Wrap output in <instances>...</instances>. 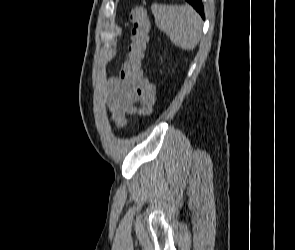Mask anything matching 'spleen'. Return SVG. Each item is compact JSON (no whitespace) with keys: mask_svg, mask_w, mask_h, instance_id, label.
<instances>
[{"mask_svg":"<svg viewBox=\"0 0 295 250\" xmlns=\"http://www.w3.org/2000/svg\"><path fill=\"white\" fill-rule=\"evenodd\" d=\"M157 27L169 35L170 41L183 50H193L201 34V19L190 5L154 3L151 7Z\"/></svg>","mask_w":295,"mask_h":250,"instance_id":"spleen-1","label":"spleen"}]
</instances>
